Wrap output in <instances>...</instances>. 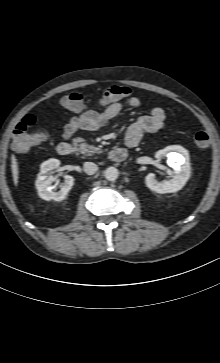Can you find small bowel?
<instances>
[{"instance_id": "c3829d8e", "label": "small bowel", "mask_w": 220, "mask_h": 363, "mask_svg": "<svg viewBox=\"0 0 220 363\" xmlns=\"http://www.w3.org/2000/svg\"><path fill=\"white\" fill-rule=\"evenodd\" d=\"M139 106H141V99L131 97L124 102H111L103 111L92 109L84 110L79 116L71 118L66 123L63 136L65 139H70L79 129L85 131L97 130L109 120L118 116L125 107L137 108ZM165 126L166 116L164 110L160 107H154L147 115L140 117L129 127L126 133L125 143L130 148L136 147L145 133L162 131Z\"/></svg>"}]
</instances>
